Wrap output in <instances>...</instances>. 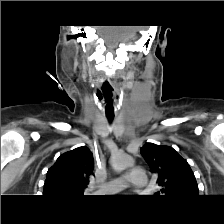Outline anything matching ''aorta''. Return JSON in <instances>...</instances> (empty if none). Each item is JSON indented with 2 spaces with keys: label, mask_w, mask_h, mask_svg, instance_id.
Segmentation results:
<instances>
[{
  "label": "aorta",
  "mask_w": 224,
  "mask_h": 224,
  "mask_svg": "<svg viewBox=\"0 0 224 224\" xmlns=\"http://www.w3.org/2000/svg\"><path fill=\"white\" fill-rule=\"evenodd\" d=\"M111 165L117 172H121L126 168L134 165V159L127 154H116L111 158Z\"/></svg>",
  "instance_id": "762f6f07"
}]
</instances>
